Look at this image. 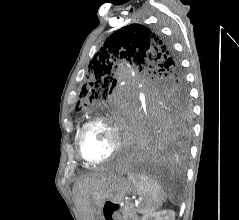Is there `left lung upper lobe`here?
Masks as SVG:
<instances>
[{
  "label": "left lung upper lobe",
  "mask_w": 239,
  "mask_h": 220,
  "mask_svg": "<svg viewBox=\"0 0 239 220\" xmlns=\"http://www.w3.org/2000/svg\"><path fill=\"white\" fill-rule=\"evenodd\" d=\"M133 62L152 75V82L133 85L119 82L123 62ZM88 107L98 113L124 117L130 110L151 112L191 111L184 73L171 45L140 24H131L110 35L88 65L76 111Z\"/></svg>",
  "instance_id": "left-lung-upper-lobe-1"
}]
</instances>
